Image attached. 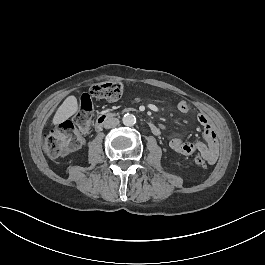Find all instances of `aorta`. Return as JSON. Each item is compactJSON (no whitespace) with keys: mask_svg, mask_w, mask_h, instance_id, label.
Wrapping results in <instances>:
<instances>
[{"mask_svg":"<svg viewBox=\"0 0 265 265\" xmlns=\"http://www.w3.org/2000/svg\"><path fill=\"white\" fill-rule=\"evenodd\" d=\"M122 122L125 126H133L136 123V117L133 114L126 113L122 118Z\"/></svg>","mask_w":265,"mask_h":265,"instance_id":"aorta-1","label":"aorta"}]
</instances>
